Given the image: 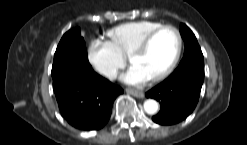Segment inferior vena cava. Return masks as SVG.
I'll use <instances>...</instances> for the list:
<instances>
[{"label":"inferior vena cava","mask_w":247,"mask_h":145,"mask_svg":"<svg viewBox=\"0 0 247 145\" xmlns=\"http://www.w3.org/2000/svg\"><path fill=\"white\" fill-rule=\"evenodd\" d=\"M100 72L107 77H114L116 75V69L110 66L102 67Z\"/></svg>","instance_id":"1"}]
</instances>
